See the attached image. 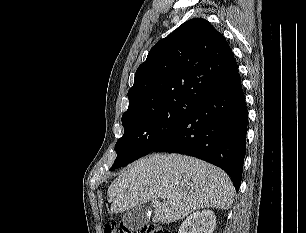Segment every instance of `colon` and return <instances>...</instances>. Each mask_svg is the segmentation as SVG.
<instances>
[{"instance_id": "5ec220e1", "label": "colon", "mask_w": 306, "mask_h": 233, "mask_svg": "<svg viewBox=\"0 0 306 233\" xmlns=\"http://www.w3.org/2000/svg\"><path fill=\"white\" fill-rule=\"evenodd\" d=\"M104 233H172L161 223H150L140 229H132L124 224L109 223L104 226Z\"/></svg>"}]
</instances>
